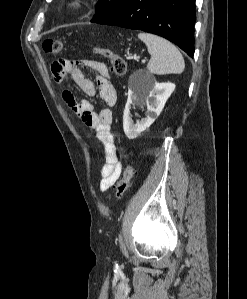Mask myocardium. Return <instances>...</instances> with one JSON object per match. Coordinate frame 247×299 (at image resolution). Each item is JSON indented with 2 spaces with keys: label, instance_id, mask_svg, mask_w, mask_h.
Segmentation results:
<instances>
[{
  "label": "myocardium",
  "instance_id": "1",
  "mask_svg": "<svg viewBox=\"0 0 247 299\" xmlns=\"http://www.w3.org/2000/svg\"><path fill=\"white\" fill-rule=\"evenodd\" d=\"M84 3V0H71L70 7L78 8Z\"/></svg>",
  "mask_w": 247,
  "mask_h": 299
}]
</instances>
